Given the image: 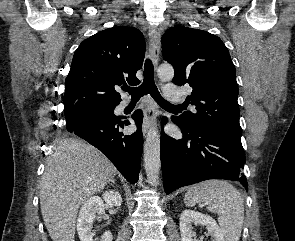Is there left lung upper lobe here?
I'll return each instance as SVG.
<instances>
[{
	"instance_id": "1",
	"label": "left lung upper lobe",
	"mask_w": 295,
	"mask_h": 241,
	"mask_svg": "<svg viewBox=\"0 0 295 241\" xmlns=\"http://www.w3.org/2000/svg\"><path fill=\"white\" fill-rule=\"evenodd\" d=\"M162 48L164 60L175 70L173 82L193 88L187 100L197 112L176 117L180 124L241 139L235 67L221 39L203 30L175 26L162 36Z\"/></svg>"
}]
</instances>
